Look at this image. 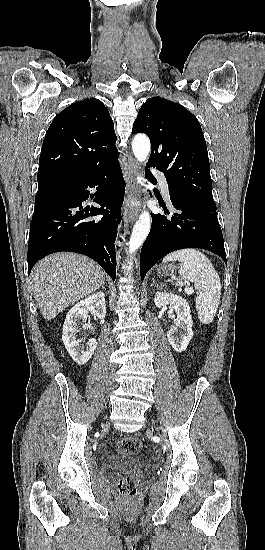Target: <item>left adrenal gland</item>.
<instances>
[{
  "mask_svg": "<svg viewBox=\"0 0 265 550\" xmlns=\"http://www.w3.org/2000/svg\"><path fill=\"white\" fill-rule=\"evenodd\" d=\"M157 285L156 281L153 279L151 286Z\"/></svg>",
  "mask_w": 265,
  "mask_h": 550,
  "instance_id": "1",
  "label": "left adrenal gland"
}]
</instances>
